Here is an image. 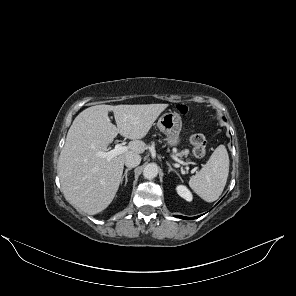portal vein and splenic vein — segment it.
Wrapping results in <instances>:
<instances>
[{"label":"portal vein and splenic vein","mask_w":296,"mask_h":296,"mask_svg":"<svg viewBox=\"0 0 296 296\" xmlns=\"http://www.w3.org/2000/svg\"><path fill=\"white\" fill-rule=\"evenodd\" d=\"M127 146H123L121 143H118L115 145V148L108 151V152H103V151H99L96 153L97 156L102 157V158H106L107 160H111L112 158L123 154L127 151ZM173 159L175 161H177L178 163L182 164V165H187L185 162H183L182 160L178 159L176 156H172Z\"/></svg>","instance_id":"obj_1"}]
</instances>
